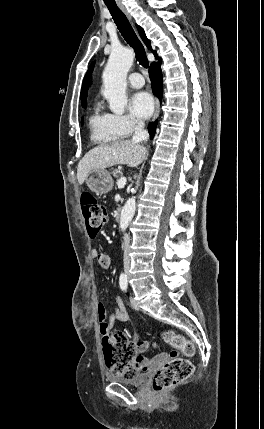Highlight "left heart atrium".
Masks as SVG:
<instances>
[{
    "instance_id": "39dd6f15",
    "label": "left heart atrium",
    "mask_w": 264,
    "mask_h": 429,
    "mask_svg": "<svg viewBox=\"0 0 264 429\" xmlns=\"http://www.w3.org/2000/svg\"><path fill=\"white\" fill-rule=\"evenodd\" d=\"M130 110L139 119L148 118L154 110L153 98L144 91L135 93L130 100Z\"/></svg>"
}]
</instances>
